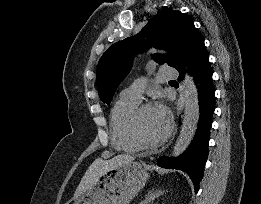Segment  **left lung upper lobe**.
<instances>
[{
	"mask_svg": "<svg viewBox=\"0 0 261 204\" xmlns=\"http://www.w3.org/2000/svg\"><path fill=\"white\" fill-rule=\"evenodd\" d=\"M197 33L186 14L172 9L159 11L137 35L113 44L102 55L96 77L100 99L107 104L111 102L118 85L130 71L136 53L150 47L165 49L168 55H155L153 59L177 68Z\"/></svg>",
	"mask_w": 261,
	"mask_h": 204,
	"instance_id": "obj_1",
	"label": "left lung upper lobe"
}]
</instances>
